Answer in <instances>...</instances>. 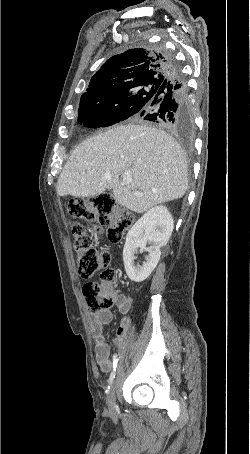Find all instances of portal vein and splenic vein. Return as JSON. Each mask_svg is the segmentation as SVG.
<instances>
[{
    "label": "portal vein and splenic vein",
    "instance_id": "portal-vein-and-splenic-vein-1",
    "mask_svg": "<svg viewBox=\"0 0 250 454\" xmlns=\"http://www.w3.org/2000/svg\"><path fill=\"white\" fill-rule=\"evenodd\" d=\"M130 181H131L130 175H125V176L123 177V180H122V182H121V185H123V186H124V185H127Z\"/></svg>",
    "mask_w": 250,
    "mask_h": 454
}]
</instances>
